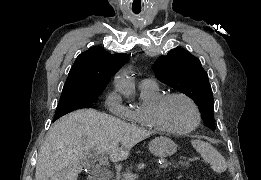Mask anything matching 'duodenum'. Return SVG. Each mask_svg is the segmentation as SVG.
<instances>
[{
  "mask_svg": "<svg viewBox=\"0 0 261 180\" xmlns=\"http://www.w3.org/2000/svg\"><path fill=\"white\" fill-rule=\"evenodd\" d=\"M87 180H106L104 173H95L94 177H87Z\"/></svg>",
  "mask_w": 261,
  "mask_h": 180,
  "instance_id": "duodenum-1",
  "label": "duodenum"
}]
</instances>
